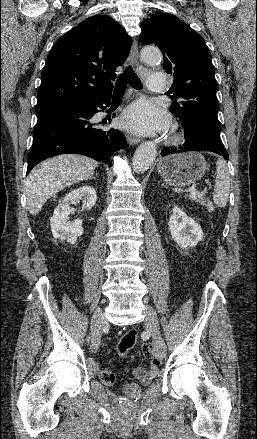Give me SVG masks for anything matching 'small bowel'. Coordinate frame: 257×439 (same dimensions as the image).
Wrapping results in <instances>:
<instances>
[{"label": "small bowel", "mask_w": 257, "mask_h": 439, "mask_svg": "<svg viewBox=\"0 0 257 439\" xmlns=\"http://www.w3.org/2000/svg\"><path fill=\"white\" fill-rule=\"evenodd\" d=\"M155 368H152L150 371H146L142 367H137L135 370V375L137 378L143 383H148L155 374Z\"/></svg>", "instance_id": "c3829d8e"}]
</instances>
